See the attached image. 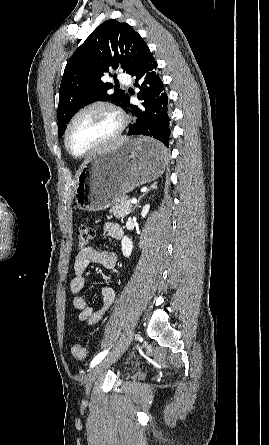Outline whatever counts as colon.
<instances>
[{"instance_id": "obj_1", "label": "colon", "mask_w": 269, "mask_h": 445, "mask_svg": "<svg viewBox=\"0 0 269 445\" xmlns=\"http://www.w3.org/2000/svg\"><path fill=\"white\" fill-rule=\"evenodd\" d=\"M76 234H77L78 247L84 249L89 245V243L93 239L95 230L91 225L82 224L78 227ZM71 352L72 355L78 360H82L86 357L85 349L79 344L72 345Z\"/></svg>"}]
</instances>
